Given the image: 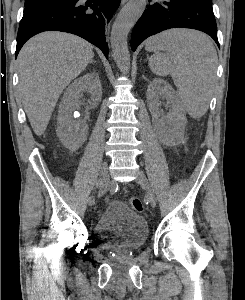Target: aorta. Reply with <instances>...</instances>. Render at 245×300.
<instances>
[{
  "mask_svg": "<svg viewBox=\"0 0 245 300\" xmlns=\"http://www.w3.org/2000/svg\"><path fill=\"white\" fill-rule=\"evenodd\" d=\"M147 0H130L118 14L111 30V47L118 67L126 72L130 64L127 38L130 30L143 14Z\"/></svg>",
  "mask_w": 245,
  "mask_h": 300,
  "instance_id": "obj_1",
  "label": "aorta"
}]
</instances>
